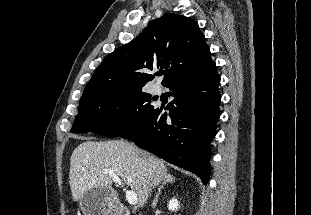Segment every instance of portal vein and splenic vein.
Listing matches in <instances>:
<instances>
[{
	"label": "portal vein and splenic vein",
	"mask_w": 311,
	"mask_h": 215,
	"mask_svg": "<svg viewBox=\"0 0 311 215\" xmlns=\"http://www.w3.org/2000/svg\"><path fill=\"white\" fill-rule=\"evenodd\" d=\"M103 173L109 175V177L112 178V180L117 185H120V186L123 187V185H122L123 182H122V180L120 179V177L116 173H114L113 171L108 170V169H104ZM123 191H125L126 200L128 201V203L131 204V205H136L137 204V195H136V193L133 192L132 190H126V189H123Z\"/></svg>",
	"instance_id": "obj_1"
}]
</instances>
